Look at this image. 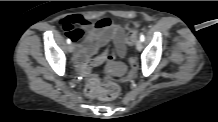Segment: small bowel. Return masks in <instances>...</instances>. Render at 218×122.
<instances>
[{
    "label": "small bowel",
    "mask_w": 218,
    "mask_h": 122,
    "mask_svg": "<svg viewBox=\"0 0 218 122\" xmlns=\"http://www.w3.org/2000/svg\"><path fill=\"white\" fill-rule=\"evenodd\" d=\"M61 25L63 28L65 25L72 27V30L67 32L76 43L77 68L92 57H96L110 41H113L116 54L119 57H124L126 54L123 28L120 25L113 24L108 18L100 19L93 24L80 15H73L64 18ZM76 32L79 33L78 36L73 34Z\"/></svg>",
    "instance_id": "c3829d8e"
}]
</instances>
